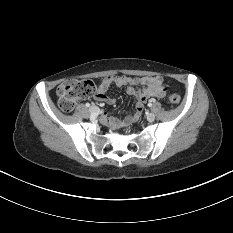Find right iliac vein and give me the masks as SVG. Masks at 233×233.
<instances>
[{
	"label": "right iliac vein",
	"instance_id": "obj_1",
	"mask_svg": "<svg viewBox=\"0 0 233 233\" xmlns=\"http://www.w3.org/2000/svg\"><path fill=\"white\" fill-rule=\"evenodd\" d=\"M89 111H90V113L92 114V115H97L98 114V112H99V109H98V107L97 106H91L90 108H89Z\"/></svg>",
	"mask_w": 233,
	"mask_h": 233
}]
</instances>
